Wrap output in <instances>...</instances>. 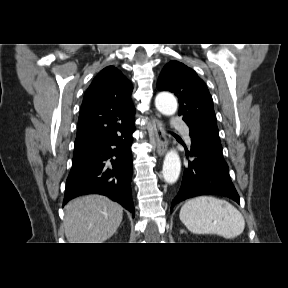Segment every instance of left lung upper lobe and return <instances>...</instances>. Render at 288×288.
<instances>
[{
    "instance_id": "left-lung-upper-lobe-1",
    "label": "left lung upper lobe",
    "mask_w": 288,
    "mask_h": 288,
    "mask_svg": "<svg viewBox=\"0 0 288 288\" xmlns=\"http://www.w3.org/2000/svg\"><path fill=\"white\" fill-rule=\"evenodd\" d=\"M157 87L179 98L178 114L187 123L191 135L222 149L212 97L194 70L181 62L170 61L164 66Z\"/></svg>"
}]
</instances>
